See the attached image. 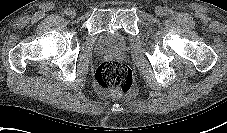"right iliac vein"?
I'll return each mask as SVG.
<instances>
[{
  "mask_svg": "<svg viewBox=\"0 0 227 133\" xmlns=\"http://www.w3.org/2000/svg\"><path fill=\"white\" fill-rule=\"evenodd\" d=\"M71 18H74L76 16V11L74 9L70 10L68 14Z\"/></svg>",
  "mask_w": 227,
  "mask_h": 133,
  "instance_id": "1",
  "label": "right iliac vein"
}]
</instances>
